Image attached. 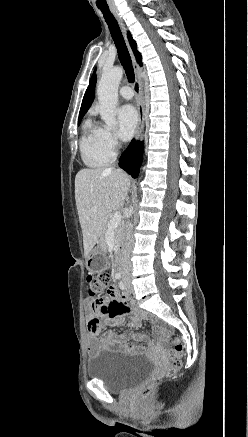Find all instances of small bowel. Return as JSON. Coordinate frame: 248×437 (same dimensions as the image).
<instances>
[{"instance_id": "small-bowel-1", "label": "small bowel", "mask_w": 248, "mask_h": 437, "mask_svg": "<svg viewBox=\"0 0 248 437\" xmlns=\"http://www.w3.org/2000/svg\"><path fill=\"white\" fill-rule=\"evenodd\" d=\"M132 304L131 299L127 294H123L120 298L115 290H108V296L103 294H88L84 300V305L89 307L86 311L88 315L87 328L89 334L88 354L95 356L102 348L118 350L127 353L154 351L159 349L164 342V331L161 325H155V331L158 336V341L153 342L147 339L142 334H134L135 343H130L126 339L125 334H116L112 331L105 332L101 339L98 336L101 333L102 322L108 324H116L121 317L128 312Z\"/></svg>"}]
</instances>
